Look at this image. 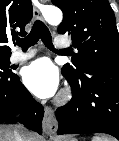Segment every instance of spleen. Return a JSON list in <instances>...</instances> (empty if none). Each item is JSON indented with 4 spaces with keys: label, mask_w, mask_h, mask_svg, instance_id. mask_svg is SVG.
Listing matches in <instances>:
<instances>
[{
    "label": "spleen",
    "mask_w": 119,
    "mask_h": 141,
    "mask_svg": "<svg viewBox=\"0 0 119 141\" xmlns=\"http://www.w3.org/2000/svg\"><path fill=\"white\" fill-rule=\"evenodd\" d=\"M92 141H110V140L106 137L94 136L92 138Z\"/></svg>",
    "instance_id": "3e777b00"
}]
</instances>
